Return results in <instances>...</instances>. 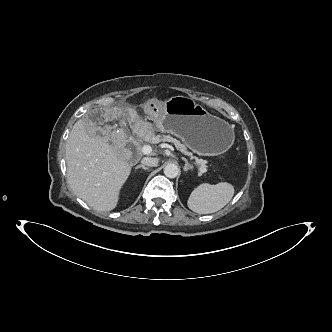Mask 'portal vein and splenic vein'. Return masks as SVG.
Returning <instances> with one entry per match:
<instances>
[{
  "label": "portal vein and splenic vein",
  "instance_id": "portal-vein-and-splenic-vein-1",
  "mask_svg": "<svg viewBox=\"0 0 332 332\" xmlns=\"http://www.w3.org/2000/svg\"><path fill=\"white\" fill-rule=\"evenodd\" d=\"M161 147H163V148H169V149H171V150H173V147L171 146V145H167V144H162L161 145ZM152 152V147L150 146V145H144L143 147H142V153L144 154V155H148V154H150ZM182 152H184V153H186L185 151H182ZM205 170H203V172H204ZM202 174V172H198V175L200 176Z\"/></svg>",
  "mask_w": 332,
  "mask_h": 332
}]
</instances>
